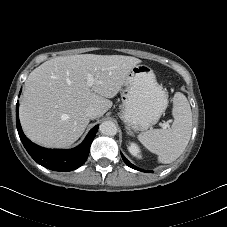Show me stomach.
<instances>
[{
    "instance_id": "0dacf381",
    "label": "stomach",
    "mask_w": 227,
    "mask_h": 227,
    "mask_svg": "<svg viewBox=\"0 0 227 227\" xmlns=\"http://www.w3.org/2000/svg\"><path fill=\"white\" fill-rule=\"evenodd\" d=\"M121 120L133 131H145L158 122L167 108L168 95L151 67L135 65L123 84Z\"/></svg>"
}]
</instances>
